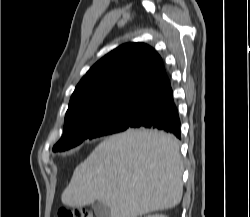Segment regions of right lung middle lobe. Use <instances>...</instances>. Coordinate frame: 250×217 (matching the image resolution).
<instances>
[{"label":"right lung middle lobe","mask_w":250,"mask_h":217,"mask_svg":"<svg viewBox=\"0 0 250 217\" xmlns=\"http://www.w3.org/2000/svg\"><path fill=\"white\" fill-rule=\"evenodd\" d=\"M139 102L116 104L80 114L64 122L63 137L53 151H64L86 139L118 133L129 128Z\"/></svg>","instance_id":"obj_1"}]
</instances>
